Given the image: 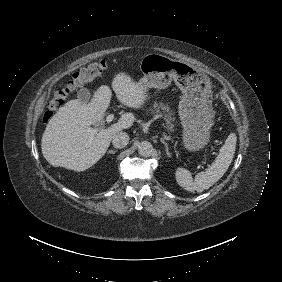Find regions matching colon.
I'll use <instances>...</instances> for the list:
<instances>
[{
  "label": "colon",
  "instance_id": "colon-1",
  "mask_svg": "<svg viewBox=\"0 0 282 282\" xmlns=\"http://www.w3.org/2000/svg\"><path fill=\"white\" fill-rule=\"evenodd\" d=\"M107 68L108 63L105 59H95L87 67L74 74L72 80L68 82L66 87L57 89L47 102L42 118L43 122L48 123L50 121L54 111L59 109L71 91L83 86L85 83L93 81L95 78L102 75Z\"/></svg>",
  "mask_w": 282,
  "mask_h": 282
}]
</instances>
